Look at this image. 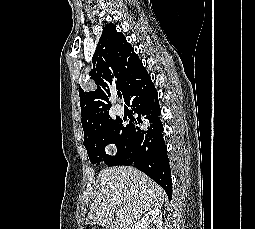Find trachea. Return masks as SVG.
Returning <instances> with one entry per match:
<instances>
[{
  "instance_id": "trachea-1",
  "label": "trachea",
  "mask_w": 255,
  "mask_h": 229,
  "mask_svg": "<svg viewBox=\"0 0 255 229\" xmlns=\"http://www.w3.org/2000/svg\"><path fill=\"white\" fill-rule=\"evenodd\" d=\"M117 95H118L119 98H122L121 92H117Z\"/></svg>"
}]
</instances>
